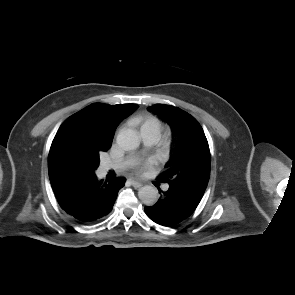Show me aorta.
Returning a JSON list of instances; mask_svg holds the SVG:
<instances>
[{"mask_svg":"<svg viewBox=\"0 0 295 295\" xmlns=\"http://www.w3.org/2000/svg\"><path fill=\"white\" fill-rule=\"evenodd\" d=\"M116 142L120 148L126 151L134 150L140 145V139L132 129L121 130L117 135ZM138 197L142 203L151 206L158 200V191L155 187L146 185L138 190Z\"/></svg>","mask_w":295,"mask_h":295,"instance_id":"762f6f07","label":"aorta"}]
</instances>
